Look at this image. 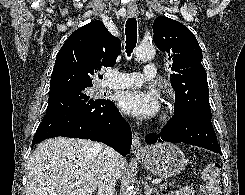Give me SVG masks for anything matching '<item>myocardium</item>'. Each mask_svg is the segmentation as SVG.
<instances>
[{"label": "myocardium", "mask_w": 245, "mask_h": 195, "mask_svg": "<svg viewBox=\"0 0 245 195\" xmlns=\"http://www.w3.org/2000/svg\"><path fill=\"white\" fill-rule=\"evenodd\" d=\"M170 117L171 116H170V114L168 112L163 113V115H162V117L160 119V123L161 124L166 123L167 121H169Z\"/></svg>", "instance_id": "myocardium-1"}]
</instances>
